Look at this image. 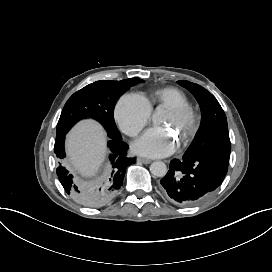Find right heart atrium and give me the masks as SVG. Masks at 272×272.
<instances>
[{
  "instance_id": "1",
  "label": "right heart atrium",
  "mask_w": 272,
  "mask_h": 272,
  "mask_svg": "<svg viewBox=\"0 0 272 272\" xmlns=\"http://www.w3.org/2000/svg\"><path fill=\"white\" fill-rule=\"evenodd\" d=\"M152 116L150 102L138 93H127L116 107L117 120L125 133L136 137L149 123Z\"/></svg>"
}]
</instances>
